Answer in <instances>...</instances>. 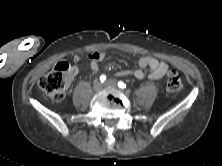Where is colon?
<instances>
[{"instance_id":"5ec220e1","label":"colon","mask_w":222,"mask_h":166,"mask_svg":"<svg viewBox=\"0 0 222 166\" xmlns=\"http://www.w3.org/2000/svg\"><path fill=\"white\" fill-rule=\"evenodd\" d=\"M73 71L74 68L69 63L60 62L39 79L38 86L48 97L60 101L66 95ZM166 88L171 93H177L183 89V81L177 71L169 70L167 72Z\"/></svg>"}]
</instances>
